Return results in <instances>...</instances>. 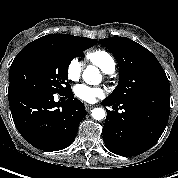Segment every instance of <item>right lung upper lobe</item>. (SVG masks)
<instances>
[{
	"label": "right lung upper lobe",
	"instance_id": "1",
	"mask_svg": "<svg viewBox=\"0 0 178 178\" xmlns=\"http://www.w3.org/2000/svg\"><path fill=\"white\" fill-rule=\"evenodd\" d=\"M41 38L73 41V40H79L82 38L84 39L85 37H78V36H73V35H68V34H49ZM85 39L90 40L92 43H94V45L97 43L96 39H90V38H85Z\"/></svg>",
	"mask_w": 178,
	"mask_h": 178
}]
</instances>
